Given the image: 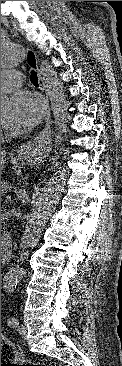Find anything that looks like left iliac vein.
Listing matches in <instances>:
<instances>
[{
  "mask_svg": "<svg viewBox=\"0 0 122 366\" xmlns=\"http://www.w3.org/2000/svg\"><path fill=\"white\" fill-rule=\"evenodd\" d=\"M18 331H19V333H20L23 337H25V336H26V333H27V328H26V326H25V325H19V326H18Z\"/></svg>",
  "mask_w": 122,
  "mask_h": 366,
  "instance_id": "obj_1",
  "label": "left iliac vein"
}]
</instances>
